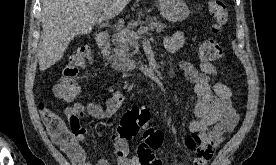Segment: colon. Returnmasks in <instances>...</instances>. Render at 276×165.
Masks as SVG:
<instances>
[{
  "label": "colon",
  "instance_id": "5ec220e1",
  "mask_svg": "<svg viewBox=\"0 0 276 165\" xmlns=\"http://www.w3.org/2000/svg\"><path fill=\"white\" fill-rule=\"evenodd\" d=\"M208 11L213 19L212 30L215 34L223 32L228 21V9L222 0H210ZM199 58L204 62H213L222 56V49L216 39H207L199 47ZM91 60V51L88 47H81L71 58L69 64L63 70L58 82L53 87L54 95L64 101H72L80 94L79 73ZM40 113L44 114L50 122V135L60 144H70L75 141L76 128L67 126L53 112H46L45 106H39ZM150 112L146 108L133 107L126 111L119 123L115 135L116 140L129 141L142 133L138 152L146 154L159 149L164 141L163 132L159 129L148 127ZM202 140L199 135L186 139V146L195 149L200 146Z\"/></svg>",
  "mask_w": 276,
  "mask_h": 165
}]
</instances>
